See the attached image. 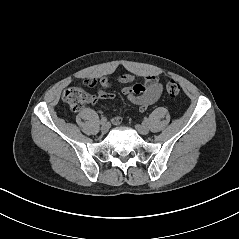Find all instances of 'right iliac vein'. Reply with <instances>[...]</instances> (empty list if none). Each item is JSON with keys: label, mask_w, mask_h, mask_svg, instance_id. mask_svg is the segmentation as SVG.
Listing matches in <instances>:
<instances>
[{"label": "right iliac vein", "mask_w": 239, "mask_h": 239, "mask_svg": "<svg viewBox=\"0 0 239 239\" xmlns=\"http://www.w3.org/2000/svg\"><path fill=\"white\" fill-rule=\"evenodd\" d=\"M108 130H109V126L105 123V124H102V126H101V132L103 133V134H105V133H107L108 132Z\"/></svg>", "instance_id": "63e3f726"}]
</instances>
